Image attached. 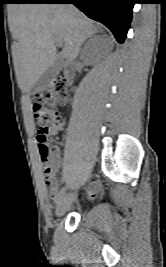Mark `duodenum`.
I'll list each match as a JSON object with an SVG mask.
<instances>
[{
    "label": "duodenum",
    "mask_w": 166,
    "mask_h": 267,
    "mask_svg": "<svg viewBox=\"0 0 166 267\" xmlns=\"http://www.w3.org/2000/svg\"><path fill=\"white\" fill-rule=\"evenodd\" d=\"M63 76L66 82H72L74 78V70L72 67H66L63 71Z\"/></svg>",
    "instance_id": "duodenum-1"
}]
</instances>
